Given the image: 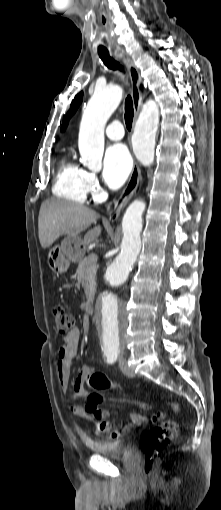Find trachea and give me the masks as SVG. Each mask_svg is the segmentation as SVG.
<instances>
[{
	"label": "trachea",
	"instance_id": "1",
	"mask_svg": "<svg viewBox=\"0 0 221 510\" xmlns=\"http://www.w3.org/2000/svg\"><path fill=\"white\" fill-rule=\"evenodd\" d=\"M99 57L101 58L104 65L106 67H108L109 69L119 70L121 72L124 71L122 66L118 62H116L109 55L108 52H100L99 51ZM133 117H134L133 101H132L131 96H127V98L125 100V123H126V127L129 131L131 130V127H132Z\"/></svg>",
	"mask_w": 221,
	"mask_h": 510
}]
</instances>
